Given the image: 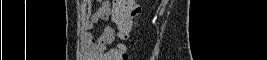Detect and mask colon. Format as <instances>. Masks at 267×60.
<instances>
[{"mask_svg":"<svg viewBox=\"0 0 267 60\" xmlns=\"http://www.w3.org/2000/svg\"><path fill=\"white\" fill-rule=\"evenodd\" d=\"M139 7L135 0H116L112 9V21L117 25L118 34L124 38L136 27V16ZM110 59L127 60L128 55L123 49H116L111 53Z\"/></svg>","mask_w":267,"mask_h":60,"instance_id":"obj_1","label":"colon"}]
</instances>
